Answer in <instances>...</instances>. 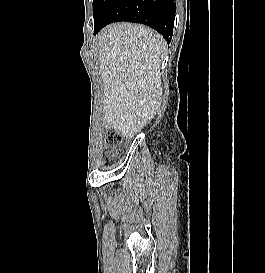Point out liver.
Masks as SVG:
<instances>
[{
  "label": "liver",
  "mask_w": 265,
  "mask_h": 273,
  "mask_svg": "<svg viewBox=\"0 0 265 273\" xmlns=\"http://www.w3.org/2000/svg\"><path fill=\"white\" fill-rule=\"evenodd\" d=\"M97 41L105 123L132 138L160 107V65L167 43L154 30L133 23L105 27Z\"/></svg>",
  "instance_id": "liver-1"
}]
</instances>
